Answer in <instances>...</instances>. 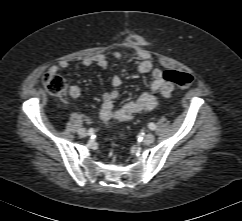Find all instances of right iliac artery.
<instances>
[{
  "label": "right iliac artery",
  "mask_w": 242,
  "mask_h": 221,
  "mask_svg": "<svg viewBox=\"0 0 242 221\" xmlns=\"http://www.w3.org/2000/svg\"><path fill=\"white\" fill-rule=\"evenodd\" d=\"M89 134L90 135L93 134V129L92 128L89 129Z\"/></svg>",
  "instance_id": "82829eb1"
}]
</instances>
